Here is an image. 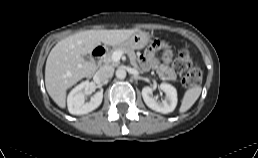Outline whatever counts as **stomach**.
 Segmentation results:
<instances>
[{
  "label": "stomach",
  "mask_w": 258,
  "mask_h": 158,
  "mask_svg": "<svg viewBox=\"0 0 258 158\" xmlns=\"http://www.w3.org/2000/svg\"><path fill=\"white\" fill-rule=\"evenodd\" d=\"M150 40V36L147 32L138 31L132 34L123 43L116 45L114 47H127L131 49H142L144 48Z\"/></svg>",
  "instance_id": "0dacf381"
}]
</instances>
